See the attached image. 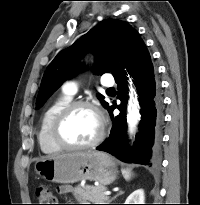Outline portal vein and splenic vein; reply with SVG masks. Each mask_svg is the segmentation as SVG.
<instances>
[{"label": "portal vein and splenic vein", "instance_id": "portal-vein-and-splenic-vein-1", "mask_svg": "<svg viewBox=\"0 0 200 205\" xmlns=\"http://www.w3.org/2000/svg\"><path fill=\"white\" fill-rule=\"evenodd\" d=\"M105 195H110L111 194V192L110 191H105V193H104Z\"/></svg>", "mask_w": 200, "mask_h": 205}]
</instances>
